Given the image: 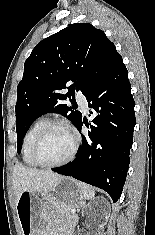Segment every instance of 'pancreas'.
Returning a JSON list of instances; mask_svg holds the SVG:
<instances>
[{"label":"pancreas","mask_w":155,"mask_h":235,"mask_svg":"<svg viewBox=\"0 0 155 235\" xmlns=\"http://www.w3.org/2000/svg\"><path fill=\"white\" fill-rule=\"evenodd\" d=\"M58 211L67 219L72 220L73 215L70 214V211L65 208H58Z\"/></svg>","instance_id":"1"}]
</instances>
